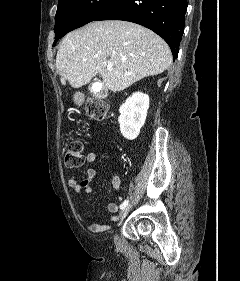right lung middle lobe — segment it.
Instances as JSON below:
<instances>
[{"label": "right lung middle lobe", "mask_w": 240, "mask_h": 281, "mask_svg": "<svg viewBox=\"0 0 240 281\" xmlns=\"http://www.w3.org/2000/svg\"><path fill=\"white\" fill-rule=\"evenodd\" d=\"M117 0H59L55 16V41L66 33L94 21Z\"/></svg>", "instance_id": "dd1d6c3e"}]
</instances>
